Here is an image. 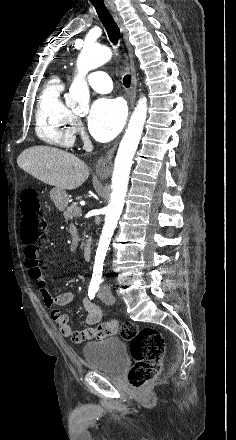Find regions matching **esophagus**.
I'll list each match as a JSON object with an SVG mask.
<instances>
[{"instance_id":"obj_1","label":"esophagus","mask_w":236,"mask_h":440,"mask_svg":"<svg viewBox=\"0 0 236 440\" xmlns=\"http://www.w3.org/2000/svg\"><path fill=\"white\" fill-rule=\"evenodd\" d=\"M110 13L112 14L114 20L116 21L121 33L123 34L124 41L126 43L129 59H130V70L132 75L131 87H130V109H132L135 98H136V88H137V79H136V70L133 59V49L128 39L127 29L120 18L115 5L111 2L106 3ZM117 147V143L103 156L101 157L96 164V173L98 176L102 178H107L110 176L112 171V159Z\"/></svg>"}]
</instances>
